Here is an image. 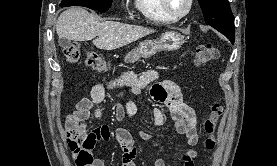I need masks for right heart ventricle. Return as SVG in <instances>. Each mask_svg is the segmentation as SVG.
I'll use <instances>...</instances> for the list:
<instances>
[{
  "label": "right heart ventricle",
  "mask_w": 277,
  "mask_h": 166,
  "mask_svg": "<svg viewBox=\"0 0 277 166\" xmlns=\"http://www.w3.org/2000/svg\"><path fill=\"white\" fill-rule=\"evenodd\" d=\"M137 10L149 21L155 23H171L170 18L161 8L159 0H135Z\"/></svg>",
  "instance_id": "1"
}]
</instances>
